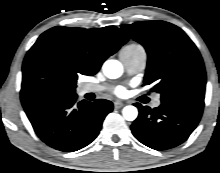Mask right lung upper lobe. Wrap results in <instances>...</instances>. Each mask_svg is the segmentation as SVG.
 I'll list each match as a JSON object with an SVG mask.
<instances>
[{
	"label": "right lung upper lobe",
	"mask_w": 220,
	"mask_h": 173,
	"mask_svg": "<svg viewBox=\"0 0 220 173\" xmlns=\"http://www.w3.org/2000/svg\"><path fill=\"white\" fill-rule=\"evenodd\" d=\"M115 26L84 29L53 27L40 35L23 62V107L55 97L78 76L95 75L102 63L128 41Z\"/></svg>",
	"instance_id": "right-lung-upper-lobe-1"
}]
</instances>
